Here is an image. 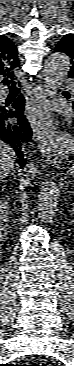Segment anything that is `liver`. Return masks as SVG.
<instances>
[{
    "instance_id": "liver-1",
    "label": "liver",
    "mask_w": 74,
    "mask_h": 366,
    "mask_svg": "<svg viewBox=\"0 0 74 366\" xmlns=\"http://www.w3.org/2000/svg\"><path fill=\"white\" fill-rule=\"evenodd\" d=\"M15 151L10 145L0 142V176L4 178L14 168Z\"/></svg>"
}]
</instances>
